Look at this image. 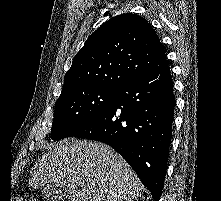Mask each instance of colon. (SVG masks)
Returning <instances> with one entry per match:
<instances>
[{
    "label": "colon",
    "mask_w": 221,
    "mask_h": 201,
    "mask_svg": "<svg viewBox=\"0 0 221 201\" xmlns=\"http://www.w3.org/2000/svg\"><path fill=\"white\" fill-rule=\"evenodd\" d=\"M14 201H30V199L27 195H19L14 199Z\"/></svg>",
    "instance_id": "obj_1"
}]
</instances>
